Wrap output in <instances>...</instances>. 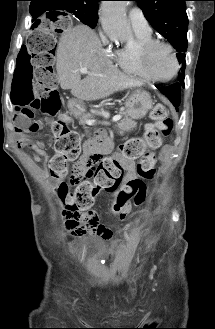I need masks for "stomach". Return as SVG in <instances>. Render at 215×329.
Returning a JSON list of instances; mask_svg holds the SVG:
<instances>
[{
	"instance_id": "obj_1",
	"label": "stomach",
	"mask_w": 215,
	"mask_h": 329,
	"mask_svg": "<svg viewBox=\"0 0 215 329\" xmlns=\"http://www.w3.org/2000/svg\"><path fill=\"white\" fill-rule=\"evenodd\" d=\"M153 101L147 91L137 89L131 93L126 101V114L131 119H142L148 111L153 107ZM68 109L72 114H82L85 111V106L79 99L68 101Z\"/></svg>"
}]
</instances>
